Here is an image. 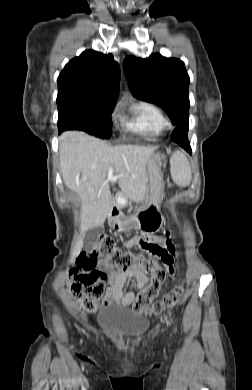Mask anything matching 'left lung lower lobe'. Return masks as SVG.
<instances>
[{
	"label": "left lung lower lobe",
	"mask_w": 252,
	"mask_h": 390,
	"mask_svg": "<svg viewBox=\"0 0 252 390\" xmlns=\"http://www.w3.org/2000/svg\"><path fill=\"white\" fill-rule=\"evenodd\" d=\"M187 131H178L174 139L181 147L191 153V148L187 143Z\"/></svg>",
	"instance_id": "0a47b994"
}]
</instances>
